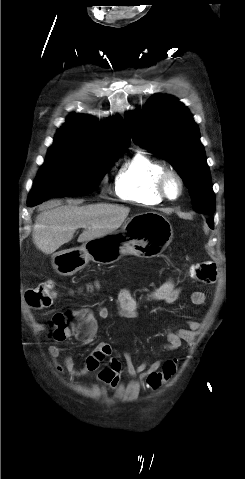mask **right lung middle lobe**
Returning <instances> with one entry per match:
<instances>
[{
    "label": "right lung middle lobe",
    "mask_w": 245,
    "mask_h": 479,
    "mask_svg": "<svg viewBox=\"0 0 245 479\" xmlns=\"http://www.w3.org/2000/svg\"><path fill=\"white\" fill-rule=\"evenodd\" d=\"M123 152L92 149L77 142L55 139L32 186L28 204L93 192Z\"/></svg>",
    "instance_id": "right-lung-middle-lobe-1"
}]
</instances>
